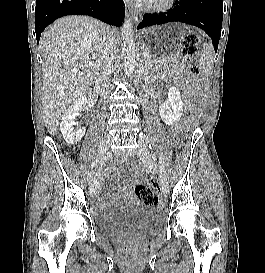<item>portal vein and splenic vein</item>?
<instances>
[{"instance_id":"portal-vein-and-splenic-vein-1","label":"portal vein and splenic vein","mask_w":265,"mask_h":273,"mask_svg":"<svg viewBox=\"0 0 265 273\" xmlns=\"http://www.w3.org/2000/svg\"><path fill=\"white\" fill-rule=\"evenodd\" d=\"M144 57H149L148 53H143Z\"/></svg>"}]
</instances>
